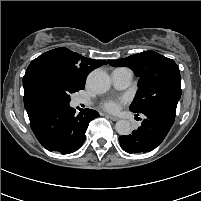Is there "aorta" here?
<instances>
[{
    "instance_id": "aorta-1",
    "label": "aorta",
    "mask_w": 201,
    "mask_h": 201,
    "mask_svg": "<svg viewBox=\"0 0 201 201\" xmlns=\"http://www.w3.org/2000/svg\"><path fill=\"white\" fill-rule=\"evenodd\" d=\"M88 86L96 93H105L109 90L111 81L108 74L101 70H93L87 77ZM116 131L120 135H129L132 127L129 121L119 120L115 125Z\"/></svg>"
}]
</instances>
